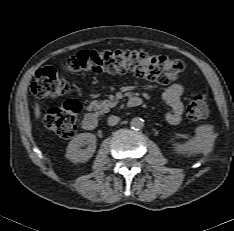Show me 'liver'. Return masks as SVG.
Here are the masks:
<instances>
[{"mask_svg": "<svg viewBox=\"0 0 234 231\" xmlns=\"http://www.w3.org/2000/svg\"><path fill=\"white\" fill-rule=\"evenodd\" d=\"M34 111H35V117L38 119L41 116V111H40V106L38 103H35V107H34Z\"/></svg>", "mask_w": 234, "mask_h": 231, "instance_id": "obj_1", "label": "liver"}]
</instances>
